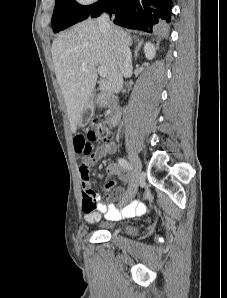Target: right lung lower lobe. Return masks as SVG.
<instances>
[{
	"label": "right lung lower lobe",
	"instance_id": "obj_1",
	"mask_svg": "<svg viewBox=\"0 0 227 298\" xmlns=\"http://www.w3.org/2000/svg\"><path fill=\"white\" fill-rule=\"evenodd\" d=\"M101 10L113 15L117 25L152 32L157 24L170 22L171 0H106L87 18L98 17Z\"/></svg>",
	"mask_w": 227,
	"mask_h": 298
}]
</instances>
